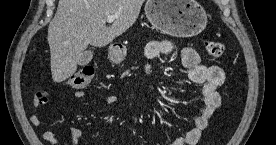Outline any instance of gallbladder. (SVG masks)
<instances>
[{"label": "gallbladder", "mask_w": 276, "mask_h": 145, "mask_svg": "<svg viewBox=\"0 0 276 145\" xmlns=\"http://www.w3.org/2000/svg\"><path fill=\"white\" fill-rule=\"evenodd\" d=\"M92 58H93V52L91 50L83 51L80 56L78 65L85 66L92 60Z\"/></svg>", "instance_id": "bac80fb5"}]
</instances>
